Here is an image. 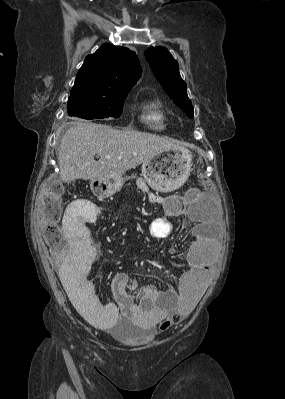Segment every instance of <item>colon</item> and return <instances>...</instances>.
I'll return each mask as SVG.
<instances>
[{
	"instance_id": "obj_1",
	"label": "colon",
	"mask_w": 285,
	"mask_h": 399,
	"mask_svg": "<svg viewBox=\"0 0 285 399\" xmlns=\"http://www.w3.org/2000/svg\"><path fill=\"white\" fill-rule=\"evenodd\" d=\"M205 181L204 177H200ZM200 191L194 190L191 193L198 195ZM97 195H104L96 190ZM65 196V190L59 183L49 184L41 194L37 208L39 219L43 223L41 228L42 236L46 241L49 250L59 258L65 257L67 253L64 231L59 220L61 219V205ZM73 251V250H72ZM178 319H175L177 321Z\"/></svg>"
}]
</instances>
